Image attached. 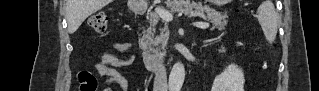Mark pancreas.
<instances>
[{"mask_svg": "<svg viewBox=\"0 0 319 91\" xmlns=\"http://www.w3.org/2000/svg\"><path fill=\"white\" fill-rule=\"evenodd\" d=\"M171 1L168 4V7L175 12H182L190 14L192 12L198 14L200 12H205L207 18L213 24L212 30H224L225 26L228 23V15L226 13L217 12L214 9L209 8L208 6H202L200 4H188V5H179ZM162 21L157 12L150 13V27L147 29V34L143 36L145 43V50L153 54L155 58H161L165 47L168 42V28L164 27L160 29V35L155 36L156 25ZM163 22V21H162Z\"/></svg>", "mask_w": 319, "mask_h": 91, "instance_id": "1", "label": "pancreas"}]
</instances>
